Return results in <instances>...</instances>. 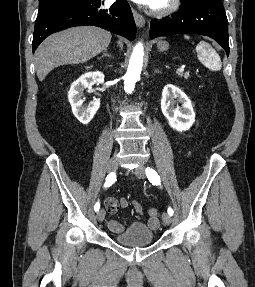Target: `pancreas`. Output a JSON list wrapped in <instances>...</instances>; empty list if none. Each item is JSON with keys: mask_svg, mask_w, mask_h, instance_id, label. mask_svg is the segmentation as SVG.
<instances>
[{"mask_svg": "<svg viewBox=\"0 0 255 287\" xmlns=\"http://www.w3.org/2000/svg\"><path fill=\"white\" fill-rule=\"evenodd\" d=\"M179 76H182V78H185V80H188L189 78V72H185V74H181V72H178Z\"/></svg>", "mask_w": 255, "mask_h": 287, "instance_id": "pancreas-1", "label": "pancreas"}]
</instances>
